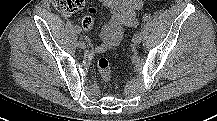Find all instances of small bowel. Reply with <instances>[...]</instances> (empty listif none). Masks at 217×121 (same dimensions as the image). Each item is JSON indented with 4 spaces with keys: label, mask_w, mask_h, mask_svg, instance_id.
I'll return each mask as SVG.
<instances>
[{
    "label": "small bowel",
    "mask_w": 217,
    "mask_h": 121,
    "mask_svg": "<svg viewBox=\"0 0 217 121\" xmlns=\"http://www.w3.org/2000/svg\"><path fill=\"white\" fill-rule=\"evenodd\" d=\"M108 9L110 18L102 29V43L95 46L96 52H104L118 45L124 28L138 24L136 11L141 9L145 0H99Z\"/></svg>",
    "instance_id": "obj_1"
}]
</instances>
